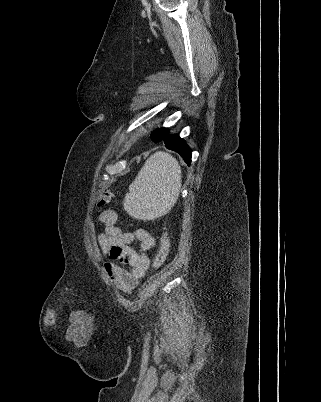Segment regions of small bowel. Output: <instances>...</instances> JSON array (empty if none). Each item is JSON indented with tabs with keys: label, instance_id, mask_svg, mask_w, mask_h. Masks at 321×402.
Segmentation results:
<instances>
[{
	"label": "small bowel",
	"instance_id": "c3829d8e",
	"mask_svg": "<svg viewBox=\"0 0 321 402\" xmlns=\"http://www.w3.org/2000/svg\"><path fill=\"white\" fill-rule=\"evenodd\" d=\"M98 221L104 231L97 236V243L102 252L110 259L104 264L107 277L125 293H131L146 276L150 259L146 252L155 246V238L146 229L133 232L124 231L118 224L117 213L103 210L98 214ZM136 242L139 250L132 244ZM91 314L85 308L78 307L69 317L70 329L66 338L73 341L77 353H84L91 338L93 322Z\"/></svg>",
	"mask_w": 321,
	"mask_h": 402
}]
</instances>
